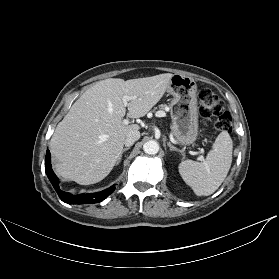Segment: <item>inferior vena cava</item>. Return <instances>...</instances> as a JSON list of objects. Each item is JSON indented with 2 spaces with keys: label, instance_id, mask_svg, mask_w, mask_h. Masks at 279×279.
<instances>
[{
  "label": "inferior vena cava",
  "instance_id": "1",
  "mask_svg": "<svg viewBox=\"0 0 279 279\" xmlns=\"http://www.w3.org/2000/svg\"><path fill=\"white\" fill-rule=\"evenodd\" d=\"M140 138V132L139 131H131L128 133V135L125 138L124 144L126 146H131L134 144L135 141H137Z\"/></svg>",
  "mask_w": 279,
  "mask_h": 279
}]
</instances>
